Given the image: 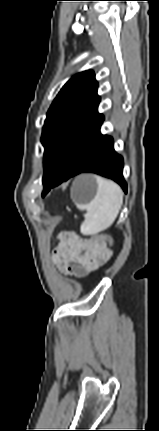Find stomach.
Listing matches in <instances>:
<instances>
[{"instance_id":"stomach-1","label":"stomach","mask_w":159,"mask_h":431,"mask_svg":"<svg viewBox=\"0 0 159 431\" xmlns=\"http://www.w3.org/2000/svg\"><path fill=\"white\" fill-rule=\"evenodd\" d=\"M97 190L96 176L83 174L75 179L71 188V197L76 204L87 205L95 198Z\"/></svg>"}]
</instances>
